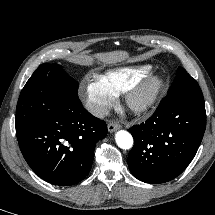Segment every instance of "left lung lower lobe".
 I'll return each instance as SVG.
<instances>
[{
  "label": "left lung lower lobe",
  "mask_w": 215,
  "mask_h": 215,
  "mask_svg": "<svg viewBox=\"0 0 215 215\" xmlns=\"http://www.w3.org/2000/svg\"><path fill=\"white\" fill-rule=\"evenodd\" d=\"M205 127L204 99L167 95L145 123L129 129L134 138L131 173L152 184L176 178L194 158Z\"/></svg>",
  "instance_id": "left-lung-lower-lobe-1"
}]
</instances>
